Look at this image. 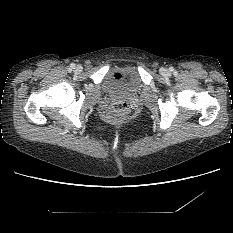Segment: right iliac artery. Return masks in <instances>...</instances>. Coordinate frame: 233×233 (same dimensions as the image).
<instances>
[{
	"label": "right iliac artery",
	"instance_id": "right-iliac-artery-1",
	"mask_svg": "<svg viewBox=\"0 0 233 233\" xmlns=\"http://www.w3.org/2000/svg\"><path fill=\"white\" fill-rule=\"evenodd\" d=\"M75 68V65L74 64H71L70 65V68H69V71H71L72 69H74Z\"/></svg>",
	"mask_w": 233,
	"mask_h": 233
}]
</instances>
